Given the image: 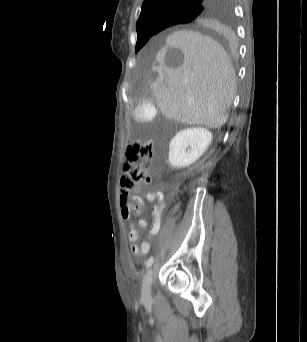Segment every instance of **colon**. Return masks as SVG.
<instances>
[{"label": "colon", "instance_id": "colon-1", "mask_svg": "<svg viewBox=\"0 0 307 342\" xmlns=\"http://www.w3.org/2000/svg\"><path fill=\"white\" fill-rule=\"evenodd\" d=\"M155 146L151 140L136 142L127 147L126 167L119 180L121 188L120 203L125 217L132 213V191H138L141 187L151 183L149 162L154 156ZM140 160L138 164H134Z\"/></svg>", "mask_w": 307, "mask_h": 342}]
</instances>
